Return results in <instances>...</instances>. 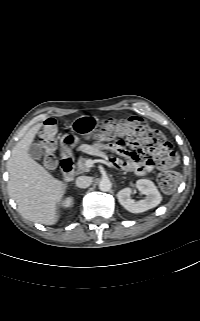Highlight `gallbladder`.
<instances>
[{
	"label": "gallbladder",
	"mask_w": 200,
	"mask_h": 321,
	"mask_svg": "<svg viewBox=\"0 0 200 321\" xmlns=\"http://www.w3.org/2000/svg\"><path fill=\"white\" fill-rule=\"evenodd\" d=\"M29 155L36 160H40L44 156V151L42 149V146L38 143H32L29 146Z\"/></svg>",
	"instance_id": "obj_1"
}]
</instances>
